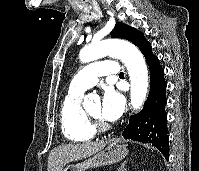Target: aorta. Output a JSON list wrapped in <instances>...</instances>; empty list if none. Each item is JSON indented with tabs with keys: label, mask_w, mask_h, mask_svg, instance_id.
<instances>
[{
	"label": "aorta",
	"mask_w": 199,
	"mask_h": 171,
	"mask_svg": "<svg viewBox=\"0 0 199 171\" xmlns=\"http://www.w3.org/2000/svg\"><path fill=\"white\" fill-rule=\"evenodd\" d=\"M106 55L121 59L127 67L131 82V105L134 109H139L148 90V72L143 55L127 41L108 39L83 48L79 57L81 62L86 63ZM93 98L92 95L86 96L84 104H88Z\"/></svg>",
	"instance_id": "obj_1"
}]
</instances>
